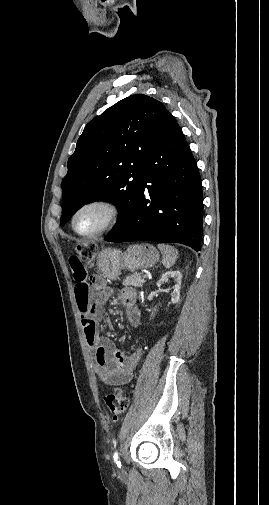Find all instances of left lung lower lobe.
Here are the masks:
<instances>
[{"label":"left lung lower lobe","instance_id":"obj_1","mask_svg":"<svg viewBox=\"0 0 269 505\" xmlns=\"http://www.w3.org/2000/svg\"><path fill=\"white\" fill-rule=\"evenodd\" d=\"M130 219L106 241L181 243L201 250L203 194L196 161L170 112L153 135ZM148 183V184H147Z\"/></svg>","mask_w":269,"mask_h":505}]
</instances>
